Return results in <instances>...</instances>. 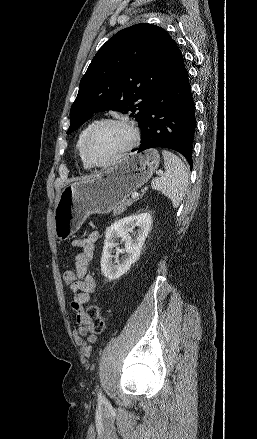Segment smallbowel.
Returning a JSON list of instances; mask_svg holds the SVG:
<instances>
[{
  "label": "small bowel",
  "mask_w": 257,
  "mask_h": 439,
  "mask_svg": "<svg viewBox=\"0 0 257 439\" xmlns=\"http://www.w3.org/2000/svg\"><path fill=\"white\" fill-rule=\"evenodd\" d=\"M98 240L99 233L93 231L85 237H79L72 241V246L80 249L75 255L76 281L70 286L72 292L71 307L77 314L73 336L76 345L86 356L90 355L93 345L97 342V336L93 333L91 324L85 318L84 305L89 302L96 289L95 279L88 273V267Z\"/></svg>",
  "instance_id": "small-bowel-1"
}]
</instances>
